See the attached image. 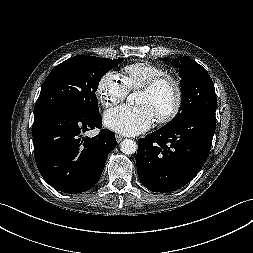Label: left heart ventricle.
<instances>
[{
	"instance_id": "b2bd125f",
	"label": "left heart ventricle",
	"mask_w": 253,
	"mask_h": 253,
	"mask_svg": "<svg viewBox=\"0 0 253 253\" xmlns=\"http://www.w3.org/2000/svg\"><path fill=\"white\" fill-rule=\"evenodd\" d=\"M172 102L173 94L167 87L162 88L156 95L142 91L137 101L139 105H148L152 109L155 117L167 111L172 105Z\"/></svg>"
}]
</instances>
